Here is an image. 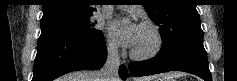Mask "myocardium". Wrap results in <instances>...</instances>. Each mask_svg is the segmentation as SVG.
Instances as JSON below:
<instances>
[{
    "mask_svg": "<svg viewBox=\"0 0 237 81\" xmlns=\"http://www.w3.org/2000/svg\"><path fill=\"white\" fill-rule=\"evenodd\" d=\"M142 27L148 28L153 36H154V45L152 46V48L150 50H148L145 53H136L133 49L130 52V56L131 58L135 59V60H139V61H145V60H149L153 57H155L162 49L164 41H163V36L161 34V31L159 30V28L148 21H144L141 22L140 24Z\"/></svg>",
    "mask_w": 237,
    "mask_h": 81,
    "instance_id": "myocardium-1",
    "label": "myocardium"
}]
</instances>
